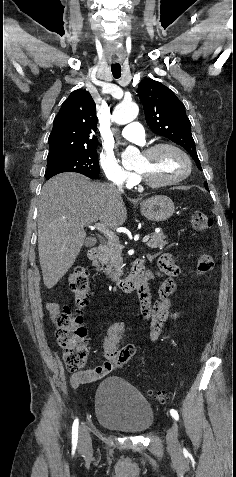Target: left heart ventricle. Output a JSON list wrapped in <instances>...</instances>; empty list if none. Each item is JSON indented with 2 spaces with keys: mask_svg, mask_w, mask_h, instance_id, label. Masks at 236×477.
Instances as JSON below:
<instances>
[{
  "mask_svg": "<svg viewBox=\"0 0 236 477\" xmlns=\"http://www.w3.org/2000/svg\"><path fill=\"white\" fill-rule=\"evenodd\" d=\"M135 169L153 181H165L181 176L187 170V163L176 151L162 149L149 157L141 154Z\"/></svg>",
  "mask_w": 236,
  "mask_h": 477,
  "instance_id": "1",
  "label": "left heart ventricle"
}]
</instances>
